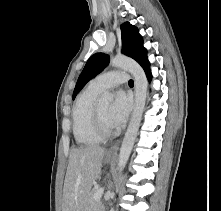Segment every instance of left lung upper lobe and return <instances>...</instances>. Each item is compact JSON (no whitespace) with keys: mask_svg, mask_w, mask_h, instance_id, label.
Segmentation results:
<instances>
[{"mask_svg":"<svg viewBox=\"0 0 221 211\" xmlns=\"http://www.w3.org/2000/svg\"><path fill=\"white\" fill-rule=\"evenodd\" d=\"M122 52L142 65L147 59V51L143 47V39L138 29L126 22L121 25ZM109 56L103 53L92 55L78 78L73 99L85 84L99 74L108 64Z\"/></svg>","mask_w":221,"mask_h":211,"instance_id":"1","label":"left lung upper lobe"}]
</instances>
